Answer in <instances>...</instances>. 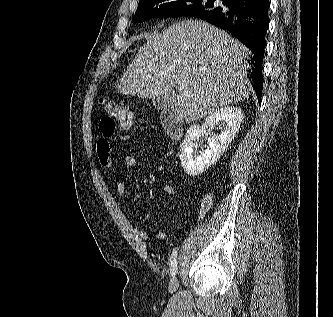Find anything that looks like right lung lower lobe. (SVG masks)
<instances>
[{"mask_svg": "<svg viewBox=\"0 0 333 317\" xmlns=\"http://www.w3.org/2000/svg\"><path fill=\"white\" fill-rule=\"evenodd\" d=\"M269 5L268 0H224L221 6L194 16L228 31L252 51L255 56V69L251 79L259 103L262 95L261 70L269 25Z\"/></svg>", "mask_w": 333, "mask_h": 317, "instance_id": "98d812e1", "label": "right lung lower lobe"}]
</instances>
